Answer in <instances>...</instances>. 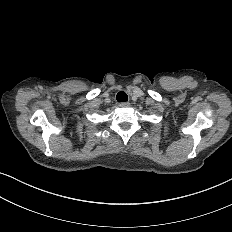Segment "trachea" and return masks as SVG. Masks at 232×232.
Masks as SVG:
<instances>
[{
  "label": "trachea",
  "instance_id": "obj_1",
  "mask_svg": "<svg viewBox=\"0 0 232 232\" xmlns=\"http://www.w3.org/2000/svg\"><path fill=\"white\" fill-rule=\"evenodd\" d=\"M116 99L118 102H126L128 100V96L125 92L120 91L117 96Z\"/></svg>",
  "mask_w": 232,
  "mask_h": 232
}]
</instances>
